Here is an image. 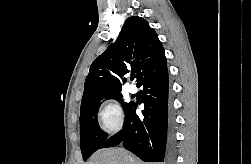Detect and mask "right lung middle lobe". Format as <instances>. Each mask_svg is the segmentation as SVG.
Instances as JSON below:
<instances>
[{
    "instance_id": "1",
    "label": "right lung middle lobe",
    "mask_w": 251,
    "mask_h": 164,
    "mask_svg": "<svg viewBox=\"0 0 251 164\" xmlns=\"http://www.w3.org/2000/svg\"><path fill=\"white\" fill-rule=\"evenodd\" d=\"M104 98L116 99L123 103L120 92L102 96L86 107L81 108L80 113V146L83 159L87 160L100 146L106 141L107 135L100 129L97 120V113L100 107V101ZM131 105L123 103L126 111Z\"/></svg>"
}]
</instances>
